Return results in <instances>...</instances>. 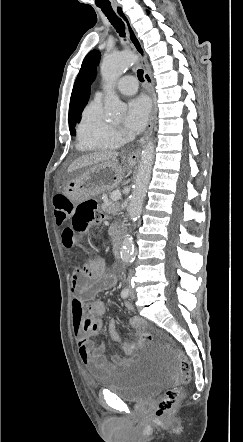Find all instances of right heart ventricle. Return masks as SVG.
I'll return each mask as SVG.
<instances>
[{"label": "right heart ventricle", "mask_w": 243, "mask_h": 442, "mask_svg": "<svg viewBox=\"0 0 243 442\" xmlns=\"http://www.w3.org/2000/svg\"><path fill=\"white\" fill-rule=\"evenodd\" d=\"M120 140L111 133L110 123L103 116L99 99L90 101L82 111L77 127L76 147L81 152L113 149Z\"/></svg>", "instance_id": "right-heart-ventricle-1"}]
</instances>
